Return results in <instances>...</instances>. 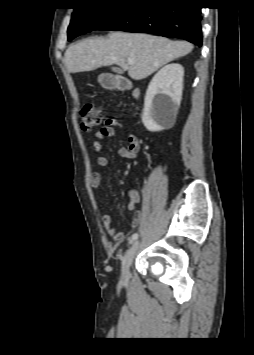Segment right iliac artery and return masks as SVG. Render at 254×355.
Wrapping results in <instances>:
<instances>
[{"instance_id":"right-iliac-artery-1","label":"right iliac artery","mask_w":254,"mask_h":355,"mask_svg":"<svg viewBox=\"0 0 254 355\" xmlns=\"http://www.w3.org/2000/svg\"><path fill=\"white\" fill-rule=\"evenodd\" d=\"M137 238H138V234H137V233H134V234L131 236V242L135 241Z\"/></svg>"}]
</instances>
